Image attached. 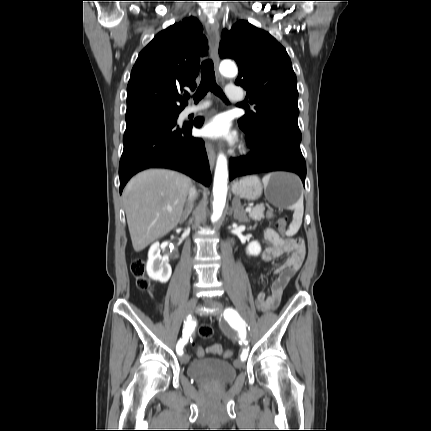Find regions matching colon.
I'll use <instances>...</instances> for the list:
<instances>
[{"instance_id":"colon-1","label":"colon","mask_w":431,"mask_h":431,"mask_svg":"<svg viewBox=\"0 0 431 431\" xmlns=\"http://www.w3.org/2000/svg\"><path fill=\"white\" fill-rule=\"evenodd\" d=\"M267 216L269 218L275 217V225L278 229V231L281 233V237H285L286 232V225H287V219H276V215L274 211L270 210L267 212ZM131 272L136 278V285L140 290L144 291H150V280L146 276V263L143 259H134L131 263ZM260 300L257 297H254L252 299V304L257 307V312H261V305H259ZM199 336L203 339H209L213 335V328L210 324L204 323L200 325L198 329ZM192 353L194 354V357L196 359L201 360L204 357V350L202 348L201 343H194L192 344ZM232 352L230 350H227L224 352V357H229Z\"/></svg>"}]
</instances>
